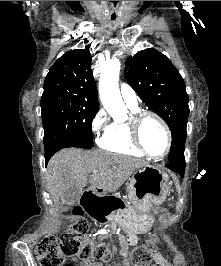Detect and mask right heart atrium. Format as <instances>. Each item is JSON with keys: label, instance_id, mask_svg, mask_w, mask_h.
Returning <instances> with one entry per match:
<instances>
[{"label": "right heart atrium", "instance_id": "d8ad5b80", "mask_svg": "<svg viewBox=\"0 0 221 266\" xmlns=\"http://www.w3.org/2000/svg\"><path fill=\"white\" fill-rule=\"evenodd\" d=\"M108 116L103 108H100L91 122V130L97 137L108 128Z\"/></svg>", "mask_w": 221, "mask_h": 266}]
</instances>
